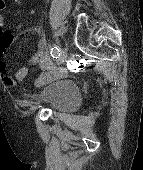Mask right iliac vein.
<instances>
[{"label": "right iliac vein", "mask_w": 143, "mask_h": 170, "mask_svg": "<svg viewBox=\"0 0 143 170\" xmlns=\"http://www.w3.org/2000/svg\"><path fill=\"white\" fill-rule=\"evenodd\" d=\"M67 59V48H64L61 52V55L58 59V66L62 65ZM61 75H60V72L58 70H54L51 74V77L53 78H59Z\"/></svg>", "instance_id": "right-iliac-vein-1"}]
</instances>
